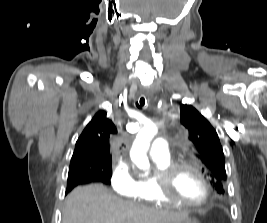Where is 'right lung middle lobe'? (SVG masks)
<instances>
[{"mask_svg": "<svg viewBox=\"0 0 267 223\" xmlns=\"http://www.w3.org/2000/svg\"><path fill=\"white\" fill-rule=\"evenodd\" d=\"M78 172H86V165L77 164V165H74V166H70L69 175H72V174H75V173H78ZM111 175H112V171H110V173H108L106 175V177L110 178Z\"/></svg>", "mask_w": 267, "mask_h": 223, "instance_id": "right-lung-middle-lobe-1", "label": "right lung middle lobe"}]
</instances>
